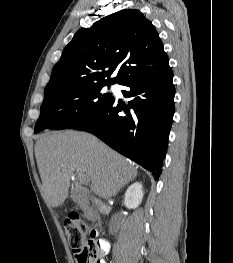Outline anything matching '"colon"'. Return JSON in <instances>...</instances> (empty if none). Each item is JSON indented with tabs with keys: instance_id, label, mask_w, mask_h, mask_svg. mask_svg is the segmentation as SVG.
Listing matches in <instances>:
<instances>
[{
	"instance_id": "colon-1",
	"label": "colon",
	"mask_w": 233,
	"mask_h": 263,
	"mask_svg": "<svg viewBox=\"0 0 233 263\" xmlns=\"http://www.w3.org/2000/svg\"><path fill=\"white\" fill-rule=\"evenodd\" d=\"M64 228L78 263H100V240L78 214L69 217L64 223Z\"/></svg>"
}]
</instances>
